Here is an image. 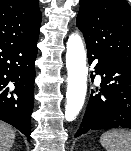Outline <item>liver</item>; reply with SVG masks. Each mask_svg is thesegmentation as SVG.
Segmentation results:
<instances>
[{"label":"liver","mask_w":131,"mask_h":151,"mask_svg":"<svg viewBox=\"0 0 131 151\" xmlns=\"http://www.w3.org/2000/svg\"><path fill=\"white\" fill-rule=\"evenodd\" d=\"M15 140L14 130L0 121V151H10Z\"/></svg>","instance_id":"6515ba94"}]
</instances>
